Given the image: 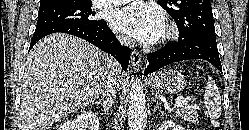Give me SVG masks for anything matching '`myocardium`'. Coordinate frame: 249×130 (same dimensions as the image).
Listing matches in <instances>:
<instances>
[{"mask_svg":"<svg viewBox=\"0 0 249 130\" xmlns=\"http://www.w3.org/2000/svg\"><path fill=\"white\" fill-rule=\"evenodd\" d=\"M177 36H178V27L174 23L169 22L165 25L163 29L161 40L163 42H166L176 38Z\"/></svg>","mask_w":249,"mask_h":130,"instance_id":"myocardium-1","label":"myocardium"}]
</instances>
